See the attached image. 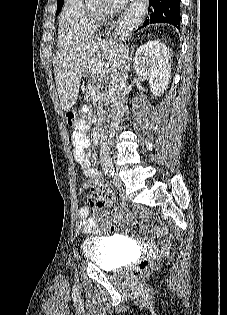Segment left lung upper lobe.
Returning <instances> with one entry per match:
<instances>
[{"label": "left lung upper lobe", "mask_w": 227, "mask_h": 315, "mask_svg": "<svg viewBox=\"0 0 227 315\" xmlns=\"http://www.w3.org/2000/svg\"><path fill=\"white\" fill-rule=\"evenodd\" d=\"M63 1H64V0H58V7H57L56 15H58L59 12L61 11V8H62V6H63Z\"/></svg>", "instance_id": "left-lung-upper-lobe-1"}]
</instances>
